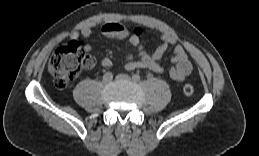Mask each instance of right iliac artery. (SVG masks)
<instances>
[{"label": "right iliac artery", "mask_w": 259, "mask_h": 156, "mask_svg": "<svg viewBox=\"0 0 259 156\" xmlns=\"http://www.w3.org/2000/svg\"><path fill=\"white\" fill-rule=\"evenodd\" d=\"M113 78L112 72H106L103 76V79H109L111 80Z\"/></svg>", "instance_id": "right-iliac-artery-1"}]
</instances>
